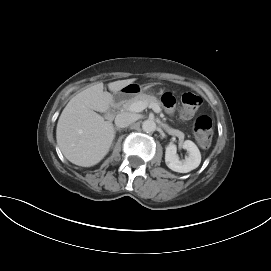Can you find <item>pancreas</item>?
<instances>
[{
    "mask_svg": "<svg viewBox=\"0 0 271 271\" xmlns=\"http://www.w3.org/2000/svg\"><path fill=\"white\" fill-rule=\"evenodd\" d=\"M138 101L145 102L148 106L153 105V104H155L159 107L161 106V103L157 100L156 97L142 93V94H139L131 99L124 101L122 108L125 110H128L131 104L138 102Z\"/></svg>",
    "mask_w": 271,
    "mask_h": 271,
    "instance_id": "pancreas-1",
    "label": "pancreas"
}]
</instances>
